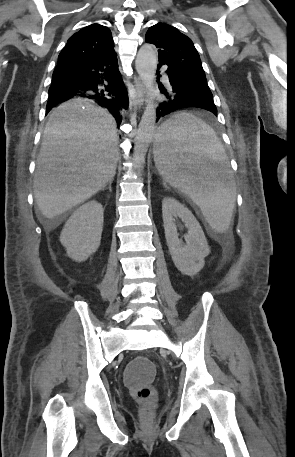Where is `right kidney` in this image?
<instances>
[{"instance_id":"obj_1","label":"right kidney","mask_w":295,"mask_h":457,"mask_svg":"<svg viewBox=\"0 0 295 457\" xmlns=\"http://www.w3.org/2000/svg\"><path fill=\"white\" fill-rule=\"evenodd\" d=\"M103 230V207L95 201L80 206L67 220L60 236L70 258L85 261L97 251Z\"/></svg>"}]
</instances>
